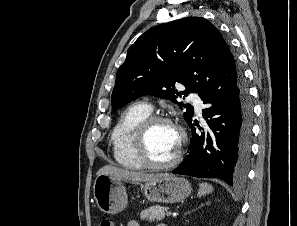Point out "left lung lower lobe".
<instances>
[{
  "label": "left lung lower lobe",
  "instance_id": "1",
  "mask_svg": "<svg viewBox=\"0 0 297 226\" xmlns=\"http://www.w3.org/2000/svg\"><path fill=\"white\" fill-rule=\"evenodd\" d=\"M208 107L203 110L207 127L195 132L192 119L188 122L192 140L188 155L174 174L202 178H219L231 186L246 180L250 160L252 104L242 75L235 85L210 86L199 94Z\"/></svg>",
  "mask_w": 297,
  "mask_h": 226
}]
</instances>
